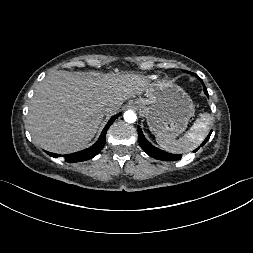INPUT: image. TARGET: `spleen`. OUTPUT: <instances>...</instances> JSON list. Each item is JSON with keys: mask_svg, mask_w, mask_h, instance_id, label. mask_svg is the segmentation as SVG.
<instances>
[{"mask_svg": "<svg viewBox=\"0 0 253 253\" xmlns=\"http://www.w3.org/2000/svg\"><path fill=\"white\" fill-rule=\"evenodd\" d=\"M211 124V116L202 114L189 131L178 140L156 135V141L160 147L171 153H186L197 148L206 138Z\"/></svg>", "mask_w": 253, "mask_h": 253, "instance_id": "spleen-1", "label": "spleen"}]
</instances>
